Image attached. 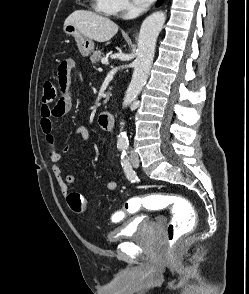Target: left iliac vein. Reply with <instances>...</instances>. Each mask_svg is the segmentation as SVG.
<instances>
[{"label": "left iliac vein", "instance_id": "obj_1", "mask_svg": "<svg viewBox=\"0 0 249 294\" xmlns=\"http://www.w3.org/2000/svg\"><path fill=\"white\" fill-rule=\"evenodd\" d=\"M131 163L135 168L139 166V157L135 152H131Z\"/></svg>", "mask_w": 249, "mask_h": 294}]
</instances>
